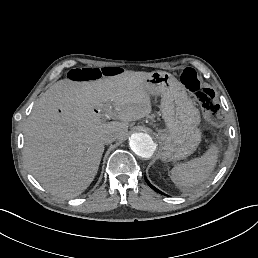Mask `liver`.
Wrapping results in <instances>:
<instances>
[{
	"mask_svg": "<svg viewBox=\"0 0 258 258\" xmlns=\"http://www.w3.org/2000/svg\"><path fill=\"white\" fill-rule=\"evenodd\" d=\"M153 72L124 71L93 81L60 80L35 103L25 128L24 162L51 194L71 199L93 181L104 152L102 137L123 138L128 122L151 113L144 82ZM103 103L121 120L104 122Z\"/></svg>",
	"mask_w": 258,
	"mask_h": 258,
	"instance_id": "obj_1",
	"label": "liver"
}]
</instances>
